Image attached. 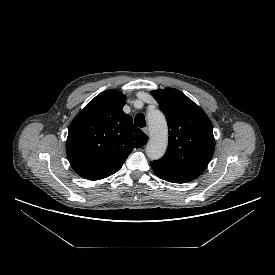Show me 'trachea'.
<instances>
[{"label":"trachea","mask_w":275,"mask_h":275,"mask_svg":"<svg viewBox=\"0 0 275 275\" xmlns=\"http://www.w3.org/2000/svg\"><path fill=\"white\" fill-rule=\"evenodd\" d=\"M134 124L140 128L145 127L146 121L145 116L142 113H139L134 118Z\"/></svg>","instance_id":"obj_1"}]
</instances>
